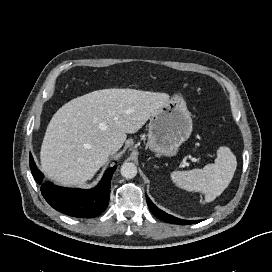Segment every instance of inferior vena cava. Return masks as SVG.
Returning a JSON list of instances; mask_svg holds the SVG:
<instances>
[{
    "instance_id": "1",
    "label": "inferior vena cava",
    "mask_w": 272,
    "mask_h": 272,
    "mask_svg": "<svg viewBox=\"0 0 272 272\" xmlns=\"http://www.w3.org/2000/svg\"><path fill=\"white\" fill-rule=\"evenodd\" d=\"M104 147L109 151V152H116L119 149V146L116 142L114 141H107L104 144Z\"/></svg>"
}]
</instances>
